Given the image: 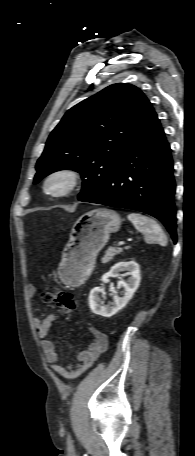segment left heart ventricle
I'll return each instance as SVG.
<instances>
[{
    "mask_svg": "<svg viewBox=\"0 0 195 456\" xmlns=\"http://www.w3.org/2000/svg\"><path fill=\"white\" fill-rule=\"evenodd\" d=\"M63 185H64L63 180L55 179V180L50 182L49 188L52 189V190H60L63 187Z\"/></svg>",
    "mask_w": 195,
    "mask_h": 456,
    "instance_id": "1",
    "label": "left heart ventricle"
}]
</instances>
